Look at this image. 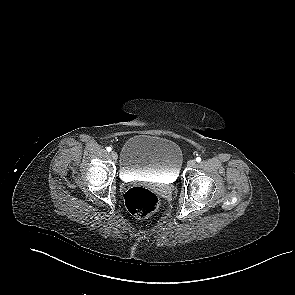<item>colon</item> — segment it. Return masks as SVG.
<instances>
[{
  "label": "colon",
  "mask_w": 295,
  "mask_h": 295,
  "mask_svg": "<svg viewBox=\"0 0 295 295\" xmlns=\"http://www.w3.org/2000/svg\"><path fill=\"white\" fill-rule=\"evenodd\" d=\"M125 204L132 215L146 218L158 209L159 197L149 189L132 187L125 193Z\"/></svg>",
  "instance_id": "1"
}]
</instances>
